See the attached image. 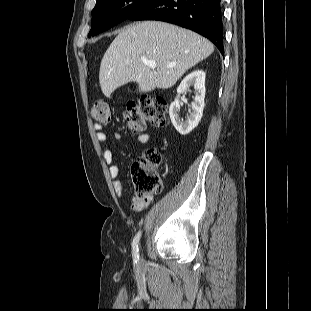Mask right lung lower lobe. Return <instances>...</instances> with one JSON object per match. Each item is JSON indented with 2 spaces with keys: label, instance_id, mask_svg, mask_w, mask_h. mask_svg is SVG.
<instances>
[{
  "label": "right lung lower lobe",
  "instance_id": "98d812e1",
  "mask_svg": "<svg viewBox=\"0 0 311 311\" xmlns=\"http://www.w3.org/2000/svg\"><path fill=\"white\" fill-rule=\"evenodd\" d=\"M221 0H155L129 20H159L195 31L224 55Z\"/></svg>",
  "mask_w": 311,
  "mask_h": 311
}]
</instances>
